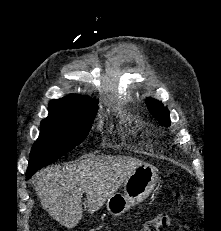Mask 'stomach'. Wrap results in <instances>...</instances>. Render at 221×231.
Listing matches in <instances>:
<instances>
[{"label":"stomach","mask_w":221,"mask_h":231,"mask_svg":"<svg viewBox=\"0 0 221 231\" xmlns=\"http://www.w3.org/2000/svg\"><path fill=\"white\" fill-rule=\"evenodd\" d=\"M157 168L150 164L137 167L125 180L124 192L115 193L108 198L106 208L113 216H120L132 206L144 201L157 182Z\"/></svg>","instance_id":"stomach-1"}]
</instances>
